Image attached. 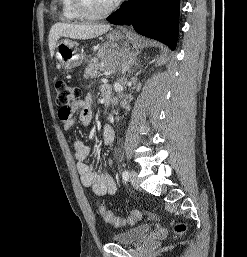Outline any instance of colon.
I'll list each match as a JSON object with an SVG mask.
<instances>
[{"mask_svg": "<svg viewBox=\"0 0 247 257\" xmlns=\"http://www.w3.org/2000/svg\"><path fill=\"white\" fill-rule=\"evenodd\" d=\"M56 91V102L60 106L61 110H68L69 107L76 102L80 96V90L74 85L65 81H60L56 84ZM98 211L106 223L117 228L125 225L136 224L141 219V213L139 211H131L126 218L116 216L111 210L102 205L98 206ZM186 229V224L183 222L177 221L173 224V230L177 235L184 234Z\"/></svg>", "mask_w": 247, "mask_h": 257, "instance_id": "1", "label": "colon"}]
</instances>
